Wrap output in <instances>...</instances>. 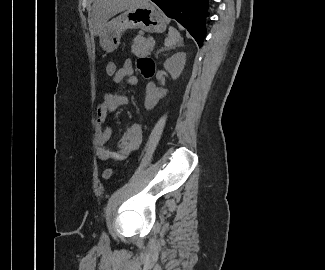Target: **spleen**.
Wrapping results in <instances>:
<instances>
[{"label": "spleen", "mask_w": 325, "mask_h": 270, "mask_svg": "<svg viewBox=\"0 0 325 270\" xmlns=\"http://www.w3.org/2000/svg\"><path fill=\"white\" fill-rule=\"evenodd\" d=\"M180 41H182L180 33L173 27H170L168 37L165 39L164 45L167 47H173L177 42Z\"/></svg>", "instance_id": "spleen-1"}]
</instances>
